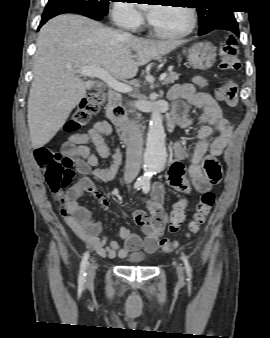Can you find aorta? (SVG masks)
<instances>
[{
	"instance_id": "aorta-1",
	"label": "aorta",
	"mask_w": 270,
	"mask_h": 338,
	"mask_svg": "<svg viewBox=\"0 0 270 338\" xmlns=\"http://www.w3.org/2000/svg\"><path fill=\"white\" fill-rule=\"evenodd\" d=\"M167 152L165 147V132L162 115L159 110L151 114L149 130L144 154V177L160 172L165 168Z\"/></svg>"
}]
</instances>
